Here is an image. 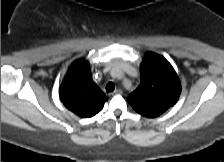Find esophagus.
<instances>
[{
  "label": "esophagus",
  "mask_w": 224,
  "mask_h": 162,
  "mask_svg": "<svg viewBox=\"0 0 224 162\" xmlns=\"http://www.w3.org/2000/svg\"><path fill=\"white\" fill-rule=\"evenodd\" d=\"M116 94H122V90L121 89H116L114 92L110 93V96H114Z\"/></svg>",
  "instance_id": "obj_1"
}]
</instances>
